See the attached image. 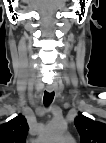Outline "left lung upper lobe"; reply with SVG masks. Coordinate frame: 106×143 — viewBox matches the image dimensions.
I'll return each instance as SVG.
<instances>
[{
  "instance_id": "5c2ea615",
  "label": "left lung upper lobe",
  "mask_w": 106,
  "mask_h": 143,
  "mask_svg": "<svg viewBox=\"0 0 106 143\" xmlns=\"http://www.w3.org/2000/svg\"><path fill=\"white\" fill-rule=\"evenodd\" d=\"M81 143H106V124L94 121L79 113L74 120Z\"/></svg>"
}]
</instances>
